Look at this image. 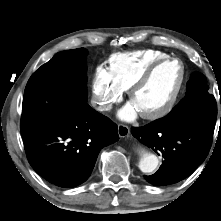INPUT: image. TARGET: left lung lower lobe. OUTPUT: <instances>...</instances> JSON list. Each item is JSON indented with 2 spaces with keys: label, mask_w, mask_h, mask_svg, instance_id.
Masks as SVG:
<instances>
[{
  "label": "left lung lower lobe",
  "mask_w": 221,
  "mask_h": 221,
  "mask_svg": "<svg viewBox=\"0 0 221 221\" xmlns=\"http://www.w3.org/2000/svg\"><path fill=\"white\" fill-rule=\"evenodd\" d=\"M215 125L182 123L162 125L157 120L132 128V135L164 158L159 170L144 178L153 185L177 183L205 160L212 143Z\"/></svg>",
  "instance_id": "0a47b994"
}]
</instances>
